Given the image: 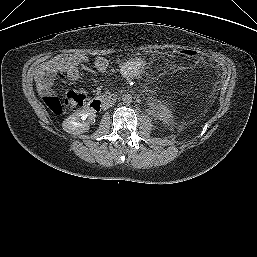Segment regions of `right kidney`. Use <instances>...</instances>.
Returning a JSON list of instances; mask_svg holds the SVG:
<instances>
[{"instance_id": "ca27d5eb", "label": "right kidney", "mask_w": 257, "mask_h": 257, "mask_svg": "<svg viewBox=\"0 0 257 257\" xmlns=\"http://www.w3.org/2000/svg\"><path fill=\"white\" fill-rule=\"evenodd\" d=\"M95 117L96 113L92 109H81L63 121V130L74 135L85 133L89 130L90 124L95 120Z\"/></svg>"}]
</instances>
